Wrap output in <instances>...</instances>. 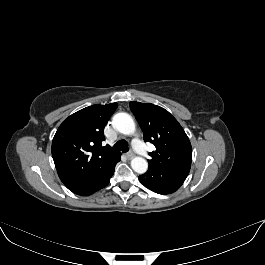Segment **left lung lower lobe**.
<instances>
[{
	"mask_svg": "<svg viewBox=\"0 0 265 265\" xmlns=\"http://www.w3.org/2000/svg\"><path fill=\"white\" fill-rule=\"evenodd\" d=\"M188 170H156L149 169L139 176L140 182L148 189L159 194H170L178 190L186 177Z\"/></svg>",
	"mask_w": 265,
	"mask_h": 265,
	"instance_id": "left-lung-lower-lobe-1",
	"label": "left lung lower lobe"
}]
</instances>
